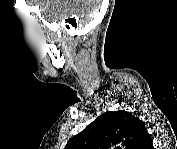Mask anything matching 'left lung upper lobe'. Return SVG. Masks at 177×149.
Returning <instances> with one entry per match:
<instances>
[{
	"label": "left lung upper lobe",
	"mask_w": 177,
	"mask_h": 149,
	"mask_svg": "<svg viewBox=\"0 0 177 149\" xmlns=\"http://www.w3.org/2000/svg\"><path fill=\"white\" fill-rule=\"evenodd\" d=\"M143 122L131 113L108 111L72 137L65 149H146Z\"/></svg>",
	"instance_id": "1"
}]
</instances>
